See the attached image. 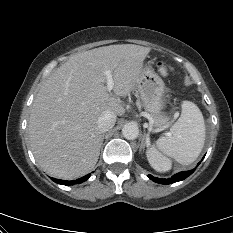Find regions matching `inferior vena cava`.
<instances>
[{
	"instance_id": "1",
	"label": "inferior vena cava",
	"mask_w": 233,
	"mask_h": 233,
	"mask_svg": "<svg viewBox=\"0 0 233 233\" xmlns=\"http://www.w3.org/2000/svg\"><path fill=\"white\" fill-rule=\"evenodd\" d=\"M116 122V115L111 111H105L98 118L97 125L101 132H106L113 128Z\"/></svg>"
}]
</instances>
